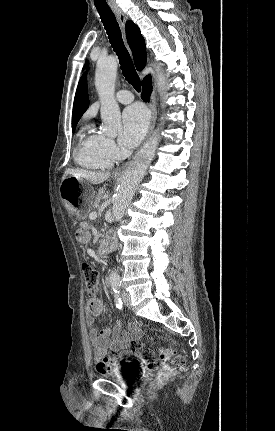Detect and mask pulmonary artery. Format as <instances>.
<instances>
[{"instance_id":"pulmonary-artery-1","label":"pulmonary artery","mask_w":275,"mask_h":431,"mask_svg":"<svg viewBox=\"0 0 275 431\" xmlns=\"http://www.w3.org/2000/svg\"><path fill=\"white\" fill-rule=\"evenodd\" d=\"M116 99L121 104H128L133 101L134 97L128 90H120L116 94Z\"/></svg>"}]
</instances>
